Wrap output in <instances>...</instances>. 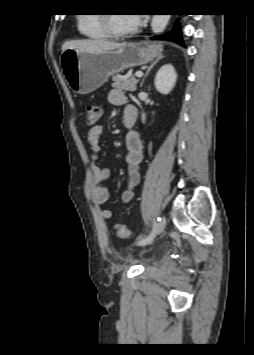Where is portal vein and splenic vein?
<instances>
[{"label": "portal vein and splenic vein", "instance_id": "obj_1", "mask_svg": "<svg viewBox=\"0 0 254 355\" xmlns=\"http://www.w3.org/2000/svg\"><path fill=\"white\" fill-rule=\"evenodd\" d=\"M135 76L136 77H142L143 76V72L138 71V72L135 73Z\"/></svg>", "mask_w": 254, "mask_h": 355}]
</instances>
